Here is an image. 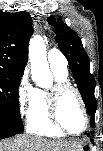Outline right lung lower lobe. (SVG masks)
Returning <instances> with one entry per match:
<instances>
[{
	"label": "right lung lower lobe",
	"instance_id": "right-lung-lower-lobe-1",
	"mask_svg": "<svg viewBox=\"0 0 103 151\" xmlns=\"http://www.w3.org/2000/svg\"><path fill=\"white\" fill-rule=\"evenodd\" d=\"M13 135H16V133H12V132L2 133L0 134V139L7 138Z\"/></svg>",
	"mask_w": 103,
	"mask_h": 151
}]
</instances>
